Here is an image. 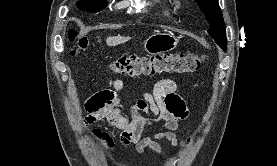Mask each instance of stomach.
<instances>
[{
	"label": "stomach",
	"instance_id": "1",
	"mask_svg": "<svg viewBox=\"0 0 277 166\" xmlns=\"http://www.w3.org/2000/svg\"><path fill=\"white\" fill-rule=\"evenodd\" d=\"M177 43L178 40L172 33L157 32L144 42L143 48L147 53L157 55L173 50Z\"/></svg>",
	"mask_w": 277,
	"mask_h": 166
}]
</instances>
